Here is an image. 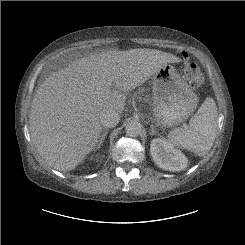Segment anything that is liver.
<instances>
[{"instance_id": "1", "label": "liver", "mask_w": 245, "mask_h": 245, "mask_svg": "<svg viewBox=\"0 0 245 245\" xmlns=\"http://www.w3.org/2000/svg\"><path fill=\"white\" fill-rule=\"evenodd\" d=\"M180 61L155 49L113 50L74 60L52 73L36 90L29 114L38 154L54 169H74L98 143L100 113H122L126 92L163 66Z\"/></svg>"}]
</instances>
